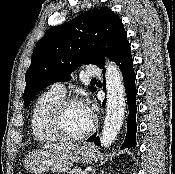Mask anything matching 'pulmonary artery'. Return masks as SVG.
<instances>
[{
  "label": "pulmonary artery",
  "instance_id": "1",
  "mask_svg": "<svg viewBox=\"0 0 175 174\" xmlns=\"http://www.w3.org/2000/svg\"><path fill=\"white\" fill-rule=\"evenodd\" d=\"M86 74L88 76H100L101 71L95 65H88L86 67ZM51 91H53L54 93H56L58 95L64 96L66 93V88H65V85L63 83L57 82L51 86Z\"/></svg>",
  "mask_w": 175,
  "mask_h": 174
}]
</instances>
